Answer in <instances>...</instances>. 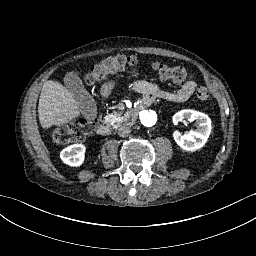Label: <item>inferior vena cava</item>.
<instances>
[{
	"mask_svg": "<svg viewBox=\"0 0 256 256\" xmlns=\"http://www.w3.org/2000/svg\"><path fill=\"white\" fill-rule=\"evenodd\" d=\"M131 132V128L128 126H120L118 128V135L120 137H126Z\"/></svg>",
	"mask_w": 256,
	"mask_h": 256,
	"instance_id": "1",
	"label": "inferior vena cava"
}]
</instances>
